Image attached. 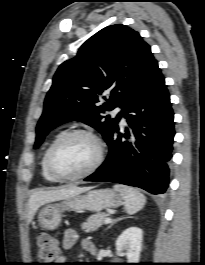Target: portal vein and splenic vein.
<instances>
[{"instance_id":"18ae733b","label":"portal vein and splenic vein","mask_w":205,"mask_h":265,"mask_svg":"<svg viewBox=\"0 0 205 265\" xmlns=\"http://www.w3.org/2000/svg\"><path fill=\"white\" fill-rule=\"evenodd\" d=\"M104 222H105V224L111 223V222H112V219H111V218H106V219L104 220Z\"/></svg>"}]
</instances>
